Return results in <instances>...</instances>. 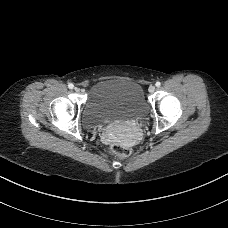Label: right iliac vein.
Instances as JSON below:
<instances>
[{"instance_id":"1","label":"right iliac vein","mask_w":228,"mask_h":228,"mask_svg":"<svg viewBox=\"0 0 228 228\" xmlns=\"http://www.w3.org/2000/svg\"><path fill=\"white\" fill-rule=\"evenodd\" d=\"M74 90H75L76 92H79L80 89H79L78 87H75Z\"/></svg>"}]
</instances>
